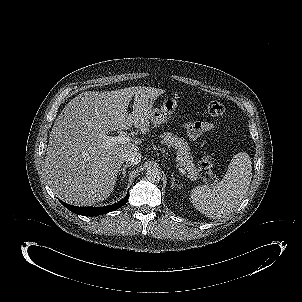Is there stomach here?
I'll return each mask as SVG.
<instances>
[{
	"instance_id": "0dacf381",
	"label": "stomach",
	"mask_w": 302,
	"mask_h": 302,
	"mask_svg": "<svg viewBox=\"0 0 302 302\" xmlns=\"http://www.w3.org/2000/svg\"><path fill=\"white\" fill-rule=\"evenodd\" d=\"M178 101L174 97H167L163 100L160 108L151 110L150 122L153 125H160L166 123L171 117L172 113L176 110Z\"/></svg>"
}]
</instances>
